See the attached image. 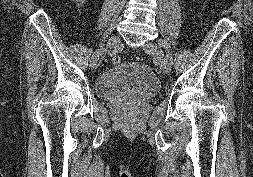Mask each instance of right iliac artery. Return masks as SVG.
<instances>
[{"instance_id":"1","label":"right iliac artery","mask_w":253,"mask_h":177,"mask_svg":"<svg viewBox=\"0 0 253 177\" xmlns=\"http://www.w3.org/2000/svg\"><path fill=\"white\" fill-rule=\"evenodd\" d=\"M105 51V48H101L95 51V54H93V57L99 58L100 53H103Z\"/></svg>"}]
</instances>
